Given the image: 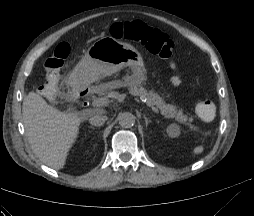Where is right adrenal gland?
Returning a JSON list of instances; mask_svg holds the SVG:
<instances>
[{"mask_svg":"<svg viewBox=\"0 0 254 216\" xmlns=\"http://www.w3.org/2000/svg\"><path fill=\"white\" fill-rule=\"evenodd\" d=\"M90 128H91V129H93V130L95 129V128H94V127H92V126H90Z\"/></svg>","mask_w":254,"mask_h":216,"instance_id":"1","label":"right adrenal gland"}]
</instances>
